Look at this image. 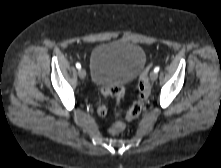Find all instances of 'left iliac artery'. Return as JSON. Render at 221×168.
<instances>
[{
  "instance_id": "left-iliac-artery-1",
  "label": "left iliac artery",
  "mask_w": 221,
  "mask_h": 168,
  "mask_svg": "<svg viewBox=\"0 0 221 168\" xmlns=\"http://www.w3.org/2000/svg\"><path fill=\"white\" fill-rule=\"evenodd\" d=\"M159 70H160V67H159V66H157V67L154 68V71H155V72H158Z\"/></svg>"
}]
</instances>
